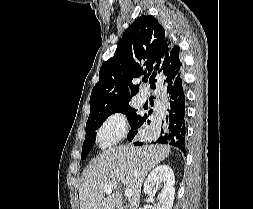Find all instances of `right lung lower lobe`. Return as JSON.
<instances>
[{
  "mask_svg": "<svg viewBox=\"0 0 253 209\" xmlns=\"http://www.w3.org/2000/svg\"><path fill=\"white\" fill-rule=\"evenodd\" d=\"M165 93L167 94V109L165 119L155 123L152 129L146 131L145 136L152 138L155 143L170 144L179 148L185 155V97L182 86L181 71L174 72L164 80ZM146 123H150L147 116L141 117L137 124L131 126L132 131L128 134V141L134 145H142L138 138L142 132L137 129Z\"/></svg>",
  "mask_w": 253,
  "mask_h": 209,
  "instance_id": "98d812e1",
  "label": "right lung lower lobe"
}]
</instances>
